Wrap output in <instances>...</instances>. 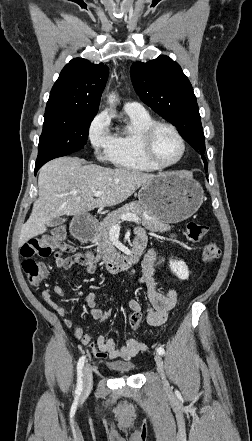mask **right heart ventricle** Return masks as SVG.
I'll list each match as a JSON object with an SVG mask.
<instances>
[{
    "label": "right heart ventricle",
    "instance_id": "1",
    "mask_svg": "<svg viewBox=\"0 0 252 441\" xmlns=\"http://www.w3.org/2000/svg\"><path fill=\"white\" fill-rule=\"evenodd\" d=\"M128 126L115 133V151L113 162L116 166L138 172H153L158 170L144 156L141 149V134L146 127L155 122L149 113L142 114L126 112Z\"/></svg>",
    "mask_w": 252,
    "mask_h": 441
}]
</instances>
